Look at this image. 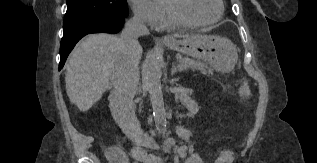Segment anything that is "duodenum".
I'll list each match as a JSON object with an SVG mask.
<instances>
[{
  "label": "duodenum",
  "instance_id": "obj_1",
  "mask_svg": "<svg viewBox=\"0 0 317 163\" xmlns=\"http://www.w3.org/2000/svg\"><path fill=\"white\" fill-rule=\"evenodd\" d=\"M133 148H140V146H147V147H156L158 145V141L156 138L143 133L140 136L132 139ZM108 152L111 156H118L121 151L120 148L117 146H111L108 149Z\"/></svg>",
  "mask_w": 317,
  "mask_h": 163
}]
</instances>
